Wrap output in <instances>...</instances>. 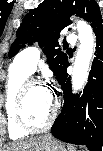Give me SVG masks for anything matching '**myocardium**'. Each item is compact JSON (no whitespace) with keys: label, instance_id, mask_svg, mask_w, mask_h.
Returning a JSON list of instances; mask_svg holds the SVG:
<instances>
[{"label":"myocardium","instance_id":"myocardium-1","mask_svg":"<svg viewBox=\"0 0 103 151\" xmlns=\"http://www.w3.org/2000/svg\"><path fill=\"white\" fill-rule=\"evenodd\" d=\"M32 86L45 87L49 91L51 98H52V108H51L50 116H49L48 120L46 121V123L40 127L31 125L25 119V116H24V107H25L26 96H27L29 89ZM58 109H59L58 99L54 96V94H52V92L45 86V84L42 81L36 80V79H27L23 82V84L21 85V87L17 93L16 99H15V105H14V118H15L17 125L22 130L30 132V133H39V132L48 130L52 126V124L54 123V121L56 119Z\"/></svg>","mask_w":103,"mask_h":151}]
</instances>
